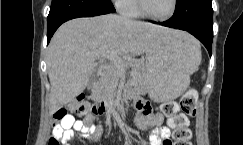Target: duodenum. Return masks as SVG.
I'll return each instance as SVG.
<instances>
[{"label":"duodenum","instance_id":"obj_1","mask_svg":"<svg viewBox=\"0 0 243 145\" xmlns=\"http://www.w3.org/2000/svg\"><path fill=\"white\" fill-rule=\"evenodd\" d=\"M106 71V67L105 66H101L99 68V74H104ZM131 95L130 90H125L124 94H123V98H128ZM112 103L111 100H102L99 101L93 108V112L95 114H102L104 113L107 108L110 106V104Z\"/></svg>","mask_w":243,"mask_h":145}]
</instances>
